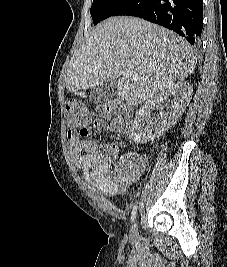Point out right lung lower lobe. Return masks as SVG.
Returning a JSON list of instances; mask_svg holds the SVG:
<instances>
[{
    "instance_id": "obj_1",
    "label": "right lung lower lobe",
    "mask_w": 227,
    "mask_h": 267,
    "mask_svg": "<svg viewBox=\"0 0 227 267\" xmlns=\"http://www.w3.org/2000/svg\"><path fill=\"white\" fill-rule=\"evenodd\" d=\"M118 15L157 23L195 44L203 28V0H129L113 16Z\"/></svg>"
}]
</instances>
